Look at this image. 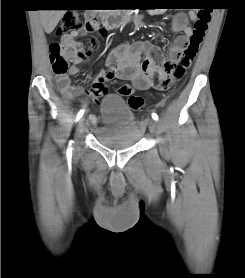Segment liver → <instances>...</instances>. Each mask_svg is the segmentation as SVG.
I'll return each instance as SVG.
<instances>
[{
	"mask_svg": "<svg viewBox=\"0 0 245 278\" xmlns=\"http://www.w3.org/2000/svg\"><path fill=\"white\" fill-rule=\"evenodd\" d=\"M65 12L66 10H40V21L47 34L55 29Z\"/></svg>",
	"mask_w": 245,
	"mask_h": 278,
	"instance_id": "liver-1",
	"label": "liver"
}]
</instances>
